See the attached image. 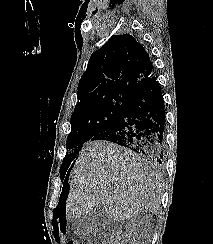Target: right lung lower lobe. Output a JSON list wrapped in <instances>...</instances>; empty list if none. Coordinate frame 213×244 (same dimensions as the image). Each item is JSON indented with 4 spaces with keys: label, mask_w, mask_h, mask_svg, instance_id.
<instances>
[{
    "label": "right lung lower lobe",
    "mask_w": 213,
    "mask_h": 244,
    "mask_svg": "<svg viewBox=\"0 0 213 244\" xmlns=\"http://www.w3.org/2000/svg\"><path fill=\"white\" fill-rule=\"evenodd\" d=\"M165 105L160 85L153 76L125 107L115 125L91 140H106L129 148L140 156L161 163L164 150ZM75 162V161H74ZM68 169L62 196L69 188Z\"/></svg>",
    "instance_id": "right-lung-lower-lobe-1"
}]
</instances>
